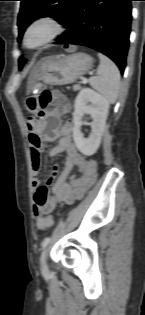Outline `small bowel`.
Listing matches in <instances>:
<instances>
[{
    "label": "small bowel",
    "instance_id": "c3829d8e",
    "mask_svg": "<svg viewBox=\"0 0 145 315\" xmlns=\"http://www.w3.org/2000/svg\"><path fill=\"white\" fill-rule=\"evenodd\" d=\"M29 127H32V123H29ZM71 130V122L65 123L59 130L57 144L49 151L50 156L66 154L61 173L58 175L59 167L55 166L48 180V183L53 182L51 188L52 199L50 201H48V189L41 185L38 173L41 169L42 141H51L53 133L46 128L41 129V140L36 134H29L28 147H31L32 188L35 191L34 201L36 203L33 208V215L39 229L42 216H51L50 214L53 212L56 204L61 202L73 203L81 199L94 185L98 176L97 163L88 159L77 150L76 145L72 141ZM74 170H77L80 175L72 174ZM51 218V223H47L43 230L52 226L53 217L51 216Z\"/></svg>",
    "mask_w": 145,
    "mask_h": 315
}]
</instances>
